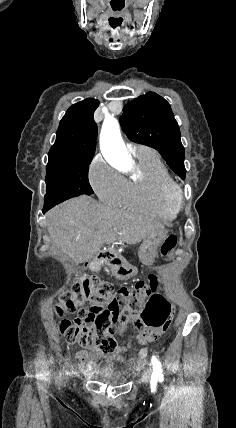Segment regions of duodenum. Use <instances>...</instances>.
<instances>
[{"label": "duodenum", "instance_id": "duodenum-1", "mask_svg": "<svg viewBox=\"0 0 236 428\" xmlns=\"http://www.w3.org/2000/svg\"><path fill=\"white\" fill-rule=\"evenodd\" d=\"M103 264L111 269L113 272H118L123 266L122 259L113 251L102 249L92 258L91 261L86 263L87 267Z\"/></svg>", "mask_w": 236, "mask_h": 428}]
</instances>
